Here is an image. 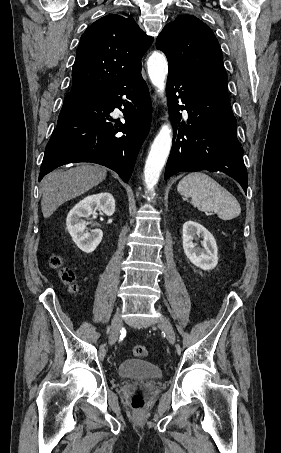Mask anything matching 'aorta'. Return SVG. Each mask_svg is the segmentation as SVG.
Segmentation results:
<instances>
[{
  "label": "aorta",
  "instance_id": "1",
  "mask_svg": "<svg viewBox=\"0 0 281 453\" xmlns=\"http://www.w3.org/2000/svg\"><path fill=\"white\" fill-rule=\"evenodd\" d=\"M147 70L152 85L157 89L164 101L168 62L164 54L153 52L147 61ZM172 145V130L170 123L161 126L156 135L144 168V181L148 191L153 192L160 173L166 163ZM155 195V194H154Z\"/></svg>",
  "mask_w": 281,
  "mask_h": 453
}]
</instances>
